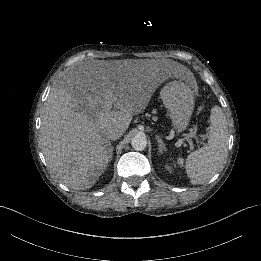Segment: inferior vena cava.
Returning a JSON list of instances; mask_svg holds the SVG:
<instances>
[{
    "instance_id": "inferior-vena-cava-1",
    "label": "inferior vena cava",
    "mask_w": 261,
    "mask_h": 261,
    "mask_svg": "<svg viewBox=\"0 0 261 261\" xmlns=\"http://www.w3.org/2000/svg\"><path fill=\"white\" fill-rule=\"evenodd\" d=\"M124 131L119 128H113L110 131L107 132V136L111 140H116L120 138L123 135Z\"/></svg>"
}]
</instances>
